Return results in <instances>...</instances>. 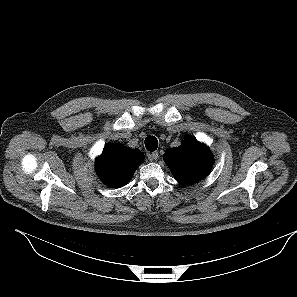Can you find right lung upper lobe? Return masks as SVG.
<instances>
[{"label":"right lung upper lobe","mask_w":297,"mask_h":297,"mask_svg":"<svg viewBox=\"0 0 297 297\" xmlns=\"http://www.w3.org/2000/svg\"><path fill=\"white\" fill-rule=\"evenodd\" d=\"M143 160L144 155L139 150L112 144L96 159L95 170L104 184L120 188L130 181Z\"/></svg>","instance_id":"obj_1"}]
</instances>
